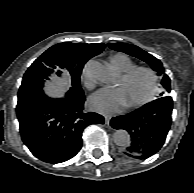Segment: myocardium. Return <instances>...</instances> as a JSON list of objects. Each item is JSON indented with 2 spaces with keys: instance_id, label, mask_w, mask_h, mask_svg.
<instances>
[{
  "instance_id": "myocardium-1",
  "label": "myocardium",
  "mask_w": 194,
  "mask_h": 193,
  "mask_svg": "<svg viewBox=\"0 0 194 193\" xmlns=\"http://www.w3.org/2000/svg\"><path fill=\"white\" fill-rule=\"evenodd\" d=\"M139 72H144L150 76L151 87H150V90L145 97H143L142 99H140L134 103L127 104L126 106L128 109H136V108H139V107L149 103L150 101H152V99L156 96V94L158 92V88H159L158 76H157V73L150 67L134 66L130 70L123 73L121 75V79L126 81Z\"/></svg>"
}]
</instances>
